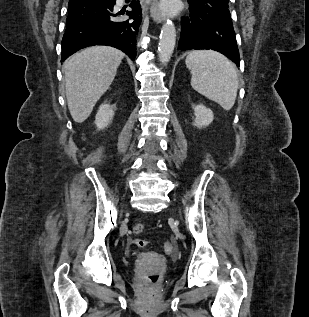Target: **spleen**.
Masks as SVG:
<instances>
[{
  "label": "spleen",
  "mask_w": 309,
  "mask_h": 317,
  "mask_svg": "<svg viewBox=\"0 0 309 317\" xmlns=\"http://www.w3.org/2000/svg\"><path fill=\"white\" fill-rule=\"evenodd\" d=\"M194 90L230 110L236 100L238 76L235 66L225 56L211 50L192 51L186 57Z\"/></svg>",
  "instance_id": "spleen-1"
}]
</instances>
